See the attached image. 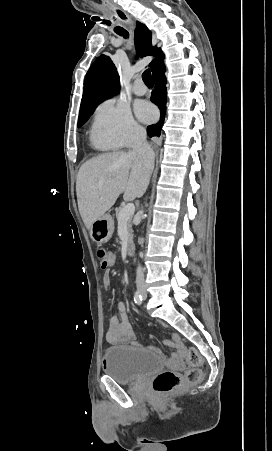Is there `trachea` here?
<instances>
[{
  "label": "trachea",
  "instance_id": "1",
  "mask_svg": "<svg viewBox=\"0 0 272 451\" xmlns=\"http://www.w3.org/2000/svg\"><path fill=\"white\" fill-rule=\"evenodd\" d=\"M116 32L119 35L124 36L125 38H128V36H129L128 32L126 30H124L123 28L117 29ZM142 79H143V82L146 83V85H154L150 70H145V72L142 75Z\"/></svg>",
  "mask_w": 272,
  "mask_h": 451
}]
</instances>
